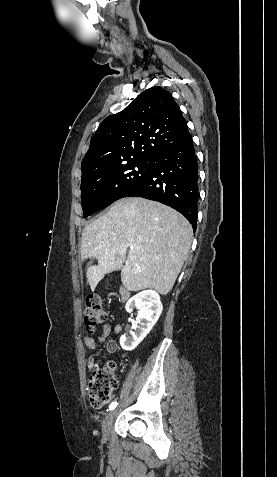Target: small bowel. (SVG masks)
Listing matches in <instances>:
<instances>
[{
  "label": "small bowel",
  "mask_w": 277,
  "mask_h": 477,
  "mask_svg": "<svg viewBox=\"0 0 277 477\" xmlns=\"http://www.w3.org/2000/svg\"><path fill=\"white\" fill-rule=\"evenodd\" d=\"M121 329L122 327L119 324L115 325L114 328L112 329V326L109 323H106L103 325L102 334L101 336L98 337L97 340L88 334L85 335L84 337L85 345L91 350L98 351L100 348V345L105 343L106 351L110 354L115 353L118 349V344L115 339H109V336L112 330L114 331L115 334H119L121 332ZM89 365L91 368L96 366L94 358L89 359Z\"/></svg>",
  "instance_id": "c3829d8e"
}]
</instances>
